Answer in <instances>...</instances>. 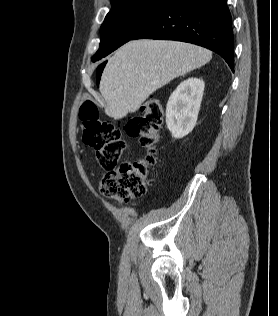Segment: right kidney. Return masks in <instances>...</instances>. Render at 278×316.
<instances>
[{
	"label": "right kidney",
	"instance_id": "ca27d5eb",
	"mask_svg": "<svg viewBox=\"0 0 278 316\" xmlns=\"http://www.w3.org/2000/svg\"><path fill=\"white\" fill-rule=\"evenodd\" d=\"M205 83L189 78L178 85L166 107V125L174 138L189 134L196 125Z\"/></svg>",
	"mask_w": 278,
	"mask_h": 316
}]
</instances>
